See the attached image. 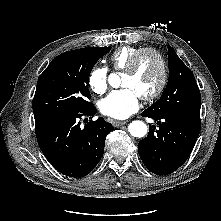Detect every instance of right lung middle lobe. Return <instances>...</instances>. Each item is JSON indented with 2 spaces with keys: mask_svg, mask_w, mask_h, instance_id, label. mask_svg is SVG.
I'll use <instances>...</instances> for the list:
<instances>
[{
  "mask_svg": "<svg viewBox=\"0 0 221 221\" xmlns=\"http://www.w3.org/2000/svg\"><path fill=\"white\" fill-rule=\"evenodd\" d=\"M111 47H87L62 53L40 75L33 98L34 118L78 114L94 105L88 84L90 72Z\"/></svg>",
  "mask_w": 221,
  "mask_h": 221,
  "instance_id": "1",
  "label": "right lung middle lobe"
}]
</instances>
